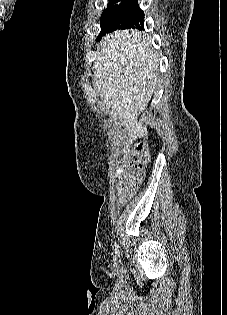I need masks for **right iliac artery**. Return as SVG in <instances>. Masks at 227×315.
<instances>
[{"mask_svg":"<svg viewBox=\"0 0 227 315\" xmlns=\"http://www.w3.org/2000/svg\"><path fill=\"white\" fill-rule=\"evenodd\" d=\"M114 251H115V255H119V245L115 243L114 245Z\"/></svg>","mask_w":227,"mask_h":315,"instance_id":"right-iliac-artery-1","label":"right iliac artery"}]
</instances>
